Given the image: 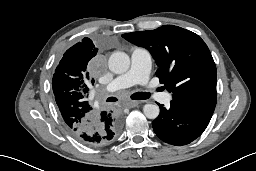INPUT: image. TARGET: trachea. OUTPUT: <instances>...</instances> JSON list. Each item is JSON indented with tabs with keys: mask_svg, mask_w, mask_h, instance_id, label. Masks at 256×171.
Returning a JSON list of instances; mask_svg holds the SVG:
<instances>
[{
	"mask_svg": "<svg viewBox=\"0 0 256 171\" xmlns=\"http://www.w3.org/2000/svg\"><path fill=\"white\" fill-rule=\"evenodd\" d=\"M149 97H150V94L146 92H137L131 95V99L133 100H145V99H148ZM115 101H117V98L115 97H109L107 99V102H115Z\"/></svg>",
	"mask_w": 256,
	"mask_h": 171,
	"instance_id": "3493384b",
	"label": "trachea"
}]
</instances>
